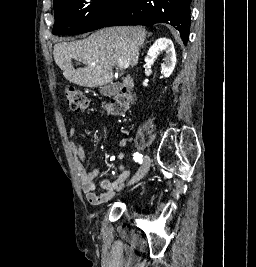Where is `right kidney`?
<instances>
[{
    "label": "right kidney",
    "instance_id": "1",
    "mask_svg": "<svg viewBox=\"0 0 256 267\" xmlns=\"http://www.w3.org/2000/svg\"><path fill=\"white\" fill-rule=\"evenodd\" d=\"M162 50H164L166 56L163 64H161V70L163 72V76H165V78H169L176 64V54L172 40H168V38H158V40L154 42L153 46L149 48L145 62L154 60L157 52H162Z\"/></svg>",
    "mask_w": 256,
    "mask_h": 267
}]
</instances>
